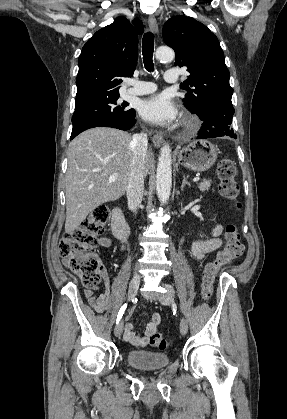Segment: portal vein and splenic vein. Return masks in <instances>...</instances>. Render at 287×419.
<instances>
[{
  "mask_svg": "<svg viewBox=\"0 0 287 419\" xmlns=\"http://www.w3.org/2000/svg\"><path fill=\"white\" fill-rule=\"evenodd\" d=\"M117 179V174H113L112 176L109 177V181H115ZM200 180L199 177H196L193 179V182H198Z\"/></svg>",
  "mask_w": 287,
  "mask_h": 419,
  "instance_id": "portal-vein-and-splenic-vein-1",
  "label": "portal vein and splenic vein"
}]
</instances>
